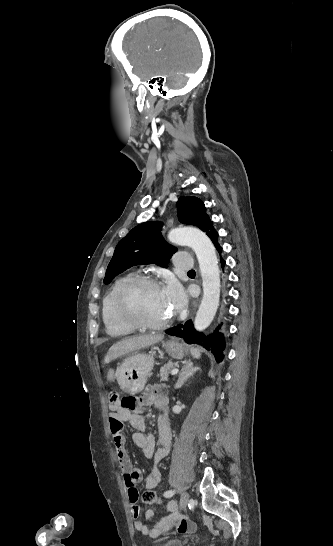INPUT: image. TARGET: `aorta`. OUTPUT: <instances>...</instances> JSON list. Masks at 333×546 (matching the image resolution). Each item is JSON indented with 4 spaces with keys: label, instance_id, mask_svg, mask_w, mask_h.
Returning a JSON list of instances; mask_svg holds the SVG:
<instances>
[{
    "label": "aorta",
    "instance_id": "1",
    "mask_svg": "<svg viewBox=\"0 0 333 546\" xmlns=\"http://www.w3.org/2000/svg\"><path fill=\"white\" fill-rule=\"evenodd\" d=\"M168 239L172 243L191 247L197 256L202 277L203 298L194 326L196 330L203 331L213 321L219 306L220 271L215 248L205 233L193 227L171 230Z\"/></svg>",
    "mask_w": 333,
    "mask_h": 546
}]
</instances>
